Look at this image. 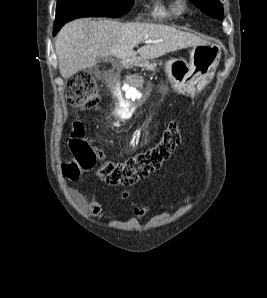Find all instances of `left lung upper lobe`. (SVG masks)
Returning a JSON list of instances; mask_svg holds the SVG:
<instances>
[{"label": "left lung upper lobe", "mask_w": 267, "mask_h": 298, "mask_svg": "<svg viewBox=\"0 0 267 298\" xmlns=\"http://www.w3.org/2000/svg\"><path fill=\"white\" fill-rule=\"evenodd\" d=\"M196 7L212 18L222 20L224 12L219 0H190Z\"/></svg>", "instance_id": "5c2ea615"}]
</instances>
